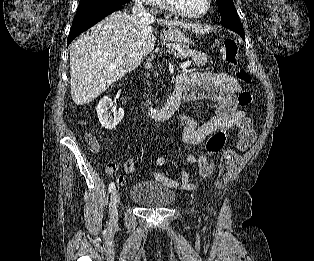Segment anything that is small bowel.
I'll use <instances>...</instances> for the list:
<instances>
[{
    "label": "small bowel",
    "mask_w": 314,
    "mask_h": 261,
    "mask_svg": "<svg viewBox=\"0 0 314 261\" xmlns=\"http://www.w3.org/2000/svg\"><path fill=\"white\" fill-rule=\"evenodd\" d=\"M185 88L191 93V100L211 101L217 103L216 113L209 120L198 124L191 116L179 113L174 121L181 129V140L186 145L202 144L208 136L224 127H236L239 131V147L247 149L255 140V132L250 118L244 111L238 109V96L242 87L238 81L231 75L223 72H195L191 74H180ZM187 161L198 166L202 177L208 178L215 169L214 162H204L197 153H189ZM133 156L120 162H111L106 165V172L112 176L122 167L127 176L134 173ZM167 161L164 157H158L155 165L162 168ZM154 179L168 188H177L181 185L184 188L191 189L189 174L181 170V182L167 177L165 174L156 171L153 174ZM119 186L126 185V178L119 175L117 178Z\"/></svg>",
    "instance_id": "small-bowel-1"
}]
</instances>
